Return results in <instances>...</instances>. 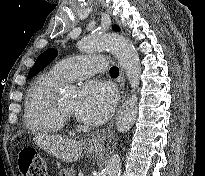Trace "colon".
Returning a JSON list of instances; mask_svg holds the SVG:
<instances>
[{
  "mask_svg": "<svg viewBox=\"0 0 205 176\" xmlns=\"http://www.w3.org/2000/svg\"><path fill=\"white\" fill-rule=\"evenodd\" d=\"M19 169L22 176H46L47 164L35 153L25 151L19 159Z\"/></svg>",
  "mask_w": 205,
  "mask_h": 176,
  "instance_id": "5ec220e1",
  "label": "colon"
}]
</instances>
